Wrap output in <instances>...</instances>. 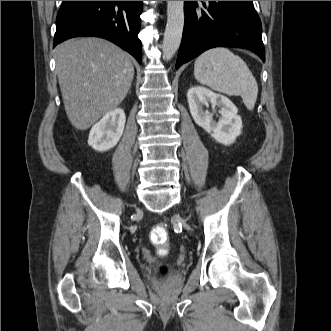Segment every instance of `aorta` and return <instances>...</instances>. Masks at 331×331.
Instances as JSON below:
<instances>
[{
    "mask_svg": "<svg viewBox=\"0 0 331 331\" xmlns=\"http://www.w3.org/2000/svg\"><path fill=\"white\" fill-rule=\"evenodd\" d=\"M184 18V1H167V24L162 44L163 57L166 60H170L180 46Z\"/></svg>",
    "mask_w": 331,
    "mask_h": 331,
    "instance_id": "aorta-1",
    "label": "aorta"
}]
</instances>
